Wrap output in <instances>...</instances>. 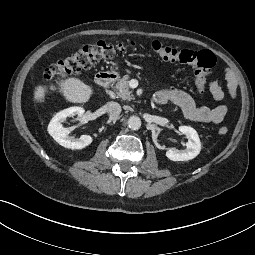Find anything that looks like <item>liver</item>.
<instances>
[{"mask_svg":"<svg viewBox=\"0 0 255 255\" xmlns=\"http://www.w3.org/2000/svg\"><path fill=\"white\" fill-rule=\"evenodd\" d=\"M59 92L68 102L86 103L93 94V89L81 80L71 77L59 82ZM47 87L38 85L34 90V101L42 103L45 101Z\"/></svg>","mask_w":255,"mask_h":255,"instance_id":"1","label":"liver"}]
</instances>
